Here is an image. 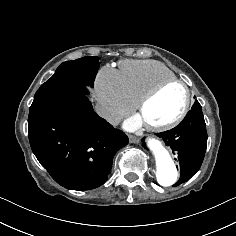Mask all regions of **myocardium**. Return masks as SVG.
<instances>
[{"label": "myocardium", "instance_id": "1", "mask_svg": "<svg viewBox=\"0 0 236 236\" xmlns=\"http://www.w3.org/2000/svg\"><path fill=\"white\" fill-rule=\"evenodd\" d=\"M172 84H179L181 85L186 93V100L184 107L180 114L172 121L162 124V125H151L145 124L146 128L155 133H164L168 132L177 126H179L188 116L191 105H192V91L190 87L181 79L178 78H169L158 82L155 86H153L150 90H148L138 101L137 108L139 112H141L146 105L152 101L162 90Z\"/></svg>", "mask_w": 236, "mask_h": 236}]
</instances>
